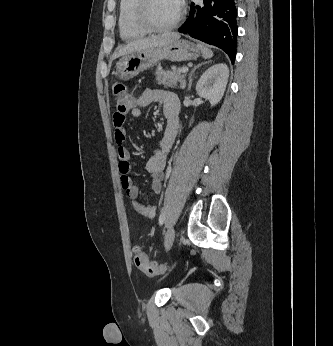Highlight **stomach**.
Listing matches in <instances>:
<instances>
[{
	"instance_id": "obj_1",
	"label": "stomach",
	"mask_w": 333,
	"mask_h": 346,
	"mask_svg": "<svg viewBox=\"0 0 333 346\" xmlns=\"http://www.w3.org/2000/svg\"><path fill=\"white\" fill-rule=\"evenodd\" d=\"M200 52L198 45L178 39L163 47L135 51L124 55L116 63L115 74L120 80L126 81L140 72L152 68L163 59L171 61L193 60L199 57Z\"/></svg>"
}]
</instances>
